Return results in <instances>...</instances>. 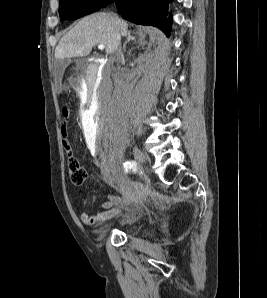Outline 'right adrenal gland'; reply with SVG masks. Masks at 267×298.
<instances>
[{"label": "right adrenal gland", "mask_w": 267, "mask_h": 298, "mask_svg": "<svg viewBox=\"0 0 267 298\" xmlns=\"http://www.w3.org/2000/svg\"><path fill=\"white\" fill-rule=\"evenodd\" d=\"M130 40H135V37L131 35V32L127 33V40L125 41V43L123 44V49L124 51L126 50V44L130 41Z\"/></svg>", "instance_id": "2a0ac1e0"}]
</instances>
